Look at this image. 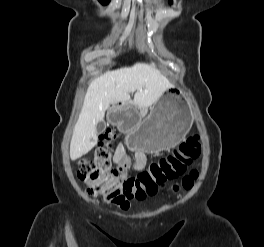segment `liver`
Instances as JSON below:
<instances>
[{
  "instance_id": "obj_1",
  "label": "liver",
  "mask_w": 264,
  "mask_h": 247,
  "mask_svg": "<svg viewBox=\"0 0 264 247\" xmlns=\"http://www.w3.org/2000/svg\"><path fill=\"white\" fill-rule=\"evenodd\" d=\"M172 85L154 65L135 64L108 71L95 79L84 99L78 121L74 127L70 158L76 160L87 154L97 143V124L103 120L110 105L128 102L135 93L134 103L147 108L155 104Z\"/></svg>"
}]
</instances>
